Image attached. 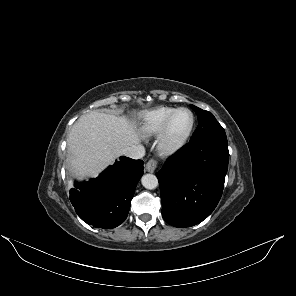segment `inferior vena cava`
I'll use <instances>...</instances> for the list:
<instances>
[{
  "label": "inferior vena cava",
  "mask_w": 296,
  "mask_h": 296,
  "mask_svg": "<svg viewBox=\"0 0 296 296\" xmlns=\"http://www.w3.org/2000/svg\"><path fill=\"white\" fill-rule=\"evenodd\" d=\"M122 154L132 159H141L145 155V149L141 145H133L124 149Z\"/></svg>",
  "instance_id": "1"
}]
</instances>
